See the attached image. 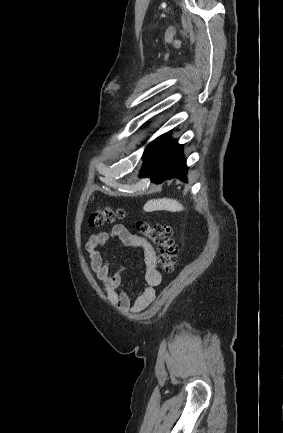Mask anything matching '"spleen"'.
<instances>
[{
	"label": "spleen",
	"mask_w": 283,
	"mask_h": 433,
	"mask_svg": "<svg viewBox=\"0 0 283 433\" xmlns=\"http://www.w3.org/2000/svg\"><path fill=\"white\" fill-rule=\"evenodd\" d=\"M146 212H152V210H171V212H179L184 210L183 204L173 198H155V200H148L143 206Z\"/></svg>",
	"instance_id": "1"
}]
</instances>
